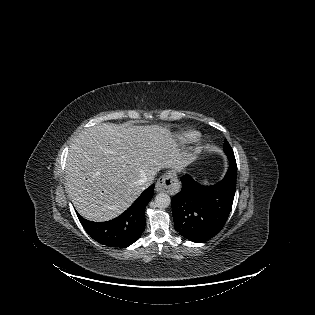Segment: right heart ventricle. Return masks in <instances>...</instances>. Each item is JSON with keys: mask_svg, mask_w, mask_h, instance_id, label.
<instances>
[{"mask_svg": "<svg viewBox=\"0 0 315 315\" xmlns=\"http://www.w3.org/2000/svg\"><path fill=\"white\" fill-rule=\"evenodd\" d=\"M198 137V133L196 131H185L178 135V139L182 143H189L196 140Z\"/></svg>", "mask_w": 315, "mask_h": 315, "instance_id": "e07e8e85", "label": "right heart ventricle"}]
</instances>
